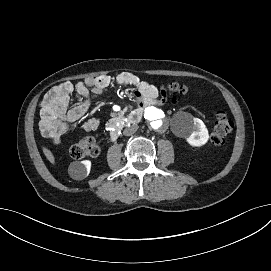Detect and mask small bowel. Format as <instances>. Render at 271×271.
<instances>
[{"mask_svg":"<svg viewBox=\"0 0 271 271\" xmlns=\"http://www.w3.org/2000/svg\"><path fill=\"white\" fill-rule=\"evenodd\" d=\"M115 82L119 86H132L133 95L141 106L167 101L177 102V99L166 95L164 90L160 93L157 86L141 80L130 72L120 73L115 78ZM111 85V77L101 75L85 78L75 84L63 82L53 87L40 103V128L43 136L54 144H58L67 133L69 126L84 117L90 107L92 95L104 94ZM73 93H76L80 100L69 108V100ZM98 126L99 120L91 118L82 125V129L92 131L96 130Z\"/></svg>","mask_w":271,"mask_h":271,"instance_id":"small-bowel-1","label":"small bowel"}]
</instances>
